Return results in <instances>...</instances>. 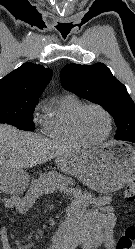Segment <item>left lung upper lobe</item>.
I'll return each mask as SVG.
<instances>
[{"label":"left lung upper lobe","mask_w":135,"mask_h":249,"mask_svg":"<svg viewBox=\"0 0 135 249\" xmlns=\"http://www.w3.org/2000/svg\"><path fill=\"white\" fill-rule=\"evenodd\" d=\"M60 79L66 90L103 106L113 116L117 126L115 139H135V104L126 87L105 64H67L61 70Z\"/></svg>","instance_id":"left-lung-upper-lobe-1"}]
</instances>
